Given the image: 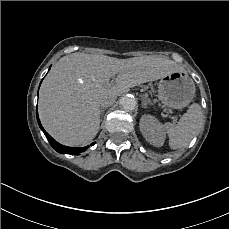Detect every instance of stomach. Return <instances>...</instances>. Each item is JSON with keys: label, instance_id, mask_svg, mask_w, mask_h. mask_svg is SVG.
Masks as SVG:
<instances>
[{"label": "stomach", "instance_id": "0dacf381", "mask_svg": "<svg viewBox=\"0 0 229 229\" xmlns=\"http://www.w3.org/2000/svg\"><path fill=\"white\" fill-rule=\"evenodd\" d=\"M195 84L186 71L165 75L158 83V98L170 108L182 109L195 96Z\"/></svg>", "mask_w": 229, "mask_h": 229}]
</instances>
